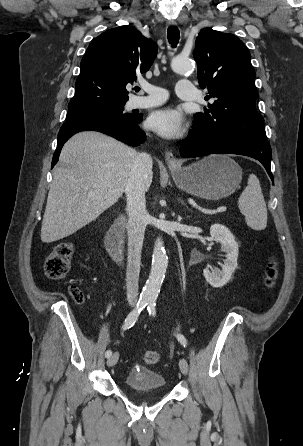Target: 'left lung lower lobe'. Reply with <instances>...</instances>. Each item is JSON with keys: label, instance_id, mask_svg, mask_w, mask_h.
<instances>
[{"label": "left lung lower lobe", "instance_id": "obj_1", "mask_svg": "<svg viewBox=\"0 0 303 446\" xmlns=\"http://www.w3.org/2000/svg\"><path fill=\"white\" fill-rule=\"evenodd\" d=\"M183 158L201 157L210 154H238L257 159L265 167L271 180V147L267 140L237 137L226 132H213L194 128L182 143Z\"/></svg>", "mask_w": 303, "mask_h": 446}]
</instances>
